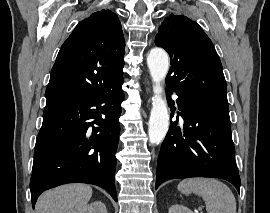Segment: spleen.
Returning a JSON list of instances; mask_svg holds the SVG:
<instances>
[{"label": "spleen", "instance_id": "obj_1", "mask_svg": "<svg viewBox=\"0 0 270 213\" xmlns=\"http://www.w3.org/2000/svg\"><path fill=\"white\" fill-rule=\"evenodd\" d=\"M185 195L201 196L207 213H236V200L230 188L213 178H188L178 184Z\"/></svg>", "mask_w": 270, "mask_h": 213}]
</instances>
